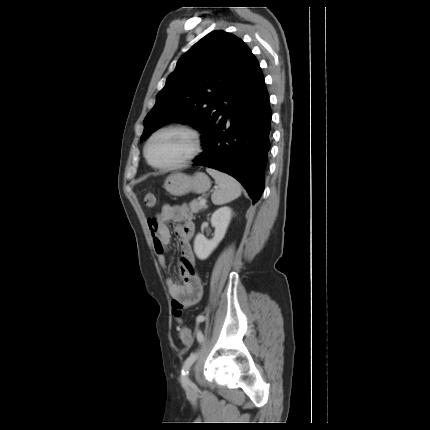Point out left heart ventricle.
I'll return each instance as SVG.
<instances>
[{
    "instance_id": "left-heart-ventricle-1",
    "label": "left heart ventricle",
    "mask_w": 430,
    "mask_h": 430,
    "mask_svg": "<svg viewBox=\"0 0 430 430\" xmlns=\"http://www.w3.org/2000/svg\"><path fill=\"white\" fill-rule=\"evenodd\" d=\"M191 149L192 138L188 133L170 130L154 139L149 149V156L156 164L168 165L183 159Z\"/></svg>"
}]
</instances>
